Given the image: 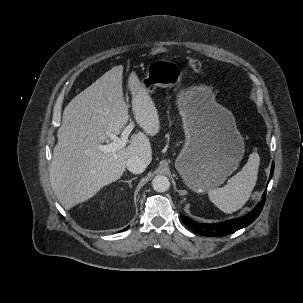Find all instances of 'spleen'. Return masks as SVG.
Segmentation results:
<instances>
[{
  "mask_svg": "<svg viewBox=\"0 0 303 303\" xmlns=\"http://www.w3.org/2000/svg\"><path fill=\"white\" fill-rule=\"evenodd\" d=\"M259 164V154L254 151L249 155L248 162L241 171L232 176L225 186L209 190L211 202L224 213L231 214L241 209L249 200L256 185Z\"/></svg>",
  "mask_w": 303,
  "mask_h": 303,
  "instance_id": "3e777b00",
  "label": "spleen"
}]
</instances>
